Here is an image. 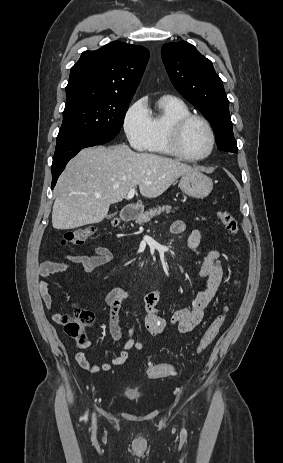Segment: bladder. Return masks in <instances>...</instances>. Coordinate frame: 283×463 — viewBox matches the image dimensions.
I'll list each match as a JSON object with an SVG mask.
<instances>
[{"label": "bladder", "mask_w": 283, "mask_h": 463, "mask_svg": "<svg viewBox=\"0 0 283 463\" xmlns=\"http://www.w3.org/2000/svg\"><path fill=\"white\" fill-rule=\"evenodd\" d=\"M123 395L127 399L135 400L141 397V392L135 388H125L123 390Z\"/></svg>", "instance_id": "31cf9c89"}]
</instances>
